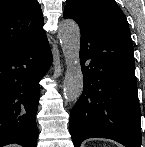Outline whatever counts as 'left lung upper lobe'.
I'll use <instances>...</instances> for the list:
<instances>
[{
  "mask_svg": "<svg viewBox=\"0 0 145 147\" xmlns=\"http://www.w3.org/2000/svg\"><path fill=\"white\" fill-rule=\"evenodd\" d=\"M75 13L90 20H127L114 0H68L64 9L66 13Z\"/></svg>",
  "mask_w": 145,
  "mask_h": 147,
  "instance_id": "1",
  "label": "left lung upper lobe"
}]
</instances>
